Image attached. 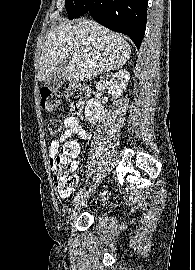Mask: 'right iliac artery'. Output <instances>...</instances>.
Masks as SVG:
<instances>
[{"label":"right iliac artery","mask_w":195,"mask_h":270,"mask_svg":"<svg viewBox=\"0 0 195 270\" xmlns=\"http://www.w3.org/2000/svg\"><path fill=\"white\" fill-rule=\"evenodd\" d=\"M83 194H84V191H83V190H81L79 193H77V195L75 196L73 202H75V201H77L78 199H80V198L82 197Z\"/></svg>","instance_id":"obj_1"}]
</instances>
